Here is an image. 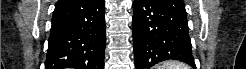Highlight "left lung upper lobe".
<instances>
[{
  "label": "left lung upper lobe",
  "mask_w": 246,
  "mask_h": 69,
  "mask_svg": "<svg viewBox=\"0 0 246 69\" xmlns=\"http://www.w3.org/2000/svg\"><path fill=\"white\" fill-rule=\"evenodd\" d=\"M161 2L166 4L168 7H170L172 10L179 13L183 17H187L183 0H161Z\"/></svg>",
  "instance_id": "left-lung-upper-lobe-1"
}]
</instances>
